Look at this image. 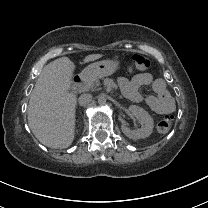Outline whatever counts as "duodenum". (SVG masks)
<instances>
[{"label":"duodenum","instance_id":"1","mask_svg":"<svg viewBox=\"0 0 208 208\" xmlns=\"http://www.w3.org/2000/svg\"><path fill=\"white\" fill-rule=\"evenodd\" d=\"M87 76H76L73 80V89L75 91H80L83 89L85 84L87 83Z\"/></svg>","mask_w":208,"mask_h":208}]
</instances>
